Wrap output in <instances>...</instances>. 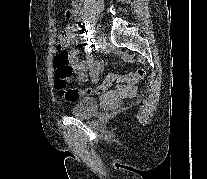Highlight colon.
<instances>
[{"instance_id": "obj_1", "label": "colon", "mask_w": 207, "mask_h": 179, "mask_svg": "<svg viewBox=\"0 0 207 179\" xmlns=\"http://www.w3.org/2000/svg\"><path fill=\"white\" fill-rule=\"evenodd\" d=\"M71 72L69 53L62 44H59L54 56L55 85L60 92V96L67 101L74 102L84 95L104 93L114 82L135 84L142 80L146 74V71L142 68L123 76L110 74L97 87L78 88L68 85Z\"/></svg>"}]
</instances>
